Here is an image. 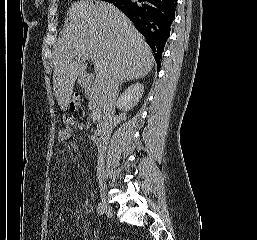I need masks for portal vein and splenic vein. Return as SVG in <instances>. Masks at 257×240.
Segmentation results:
<instances>
[{"label":"portal vein and splenic vein","mask_w":257,"mask_h":240,"mask_svg":"<svg viewBox=\"0 0 257 240\" xmlns=\"http://www.w3.org/2000/svg\"><path fill=\"white\" fill-rule=\"evenodd\" d=\"M83 58L84 59H91V60H93V55L92 54H86V55L83 56ZM102 86H103V83L100 82V81H97L96 89H100L101 90Z\"/></svg>","instance_id":"18ae733b"}]
</instances>
